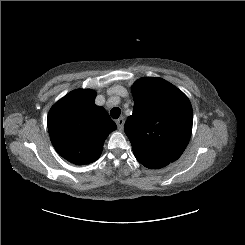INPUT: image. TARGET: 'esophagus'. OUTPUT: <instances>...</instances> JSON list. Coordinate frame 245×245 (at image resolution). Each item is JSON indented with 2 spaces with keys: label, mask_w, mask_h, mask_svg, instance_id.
<instances>
[{
  "label": "esophagus",
  "mask_w": 245,
  "mask_h": 245,
  "mask_svg": "<svg viewBox=\"0 0 245 245\" xmlns=\"http://www.w3.org/2000/svg\"><path fill=\"white\" fill-rule=\"evenodd\" d=\"M124 123H125L124 117H120L119 119L116 120L117 127L120 131L123 130Z\"/></svg>",
  "instance_id": "34e87169"
}]
</instances>
